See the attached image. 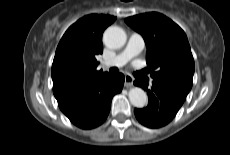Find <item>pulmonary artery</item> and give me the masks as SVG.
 I'll return each instance as SVG.
<instances>
[{"instance_id":"pulmonary-artery-1","label":"pulmonary artery","mask_w":230,"mask_h":155,"mask_svg":"<svg viewBox=\"0 0 230 155\" xmlns=\"http://www.w3.org/2000/svg\"><path fill=\"white\" fill-rule=\"evenodd\" d=\"M144 46L145 42L143 37L138 33H132L124 50L112 59L105 61L104 65L108 67H121L133 57L137 56L144 49Z\"/></svg>"}]
</instances>
